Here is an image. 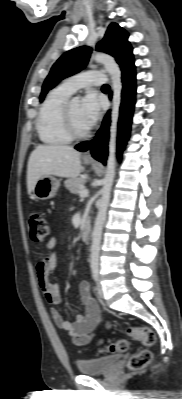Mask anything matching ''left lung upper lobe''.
I'll use <instances>...</instances> for the list:
<instances>
[{"mask_svg":"<svg viewBox=\"0 0 182 399\" xmlns=\"http://www.w3.org/2000/svg\"><path fill=\"white\" fill-rule=\"evenodd\" d=\"M128 33L116 23L110 24L103 40L97 45V50L112 55L123 71L134 66L132 47L128 42ZM91 48L78 47L65 52L52 66L42 86L40 102L44 100L48 90L52 89L62 79L82 70L90 57Z\"/></svg>","mask_w":182,"mask_h":399,"instance_id":"1","label":"left lung upper lobe"}]
</instances>
